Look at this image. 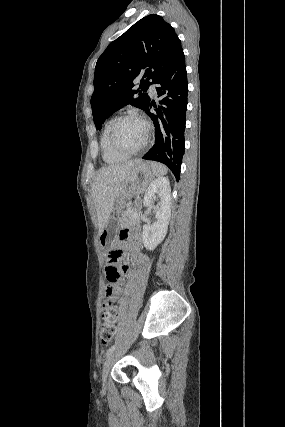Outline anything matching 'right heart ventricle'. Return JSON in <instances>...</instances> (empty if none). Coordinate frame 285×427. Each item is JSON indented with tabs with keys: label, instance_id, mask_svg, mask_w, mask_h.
<instances>
[{
	"label": "right heart ventricle",
	"instance_id": "obj_1",
	"mask_svg": "<svg viewBox=\"0 0 285 427\" xmlns=\"http://www.w3.org/2000/svg\"><path fill=\"white\" fill-rule=\"evenodd\" d=\"M113 120L114 118H110L105 123L100 135V148L102 152V157L103 160L109 164L121 163L129 158L128 155L116 152L109 143L108 133Z\"/></svg>",
	"mask_w": 285,
	"mask_h": 427
}]
</instances>
